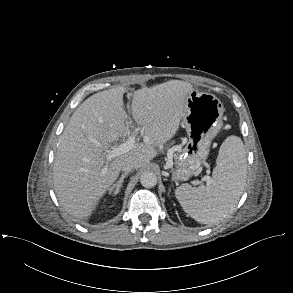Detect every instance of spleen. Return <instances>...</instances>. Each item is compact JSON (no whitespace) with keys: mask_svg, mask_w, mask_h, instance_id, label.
Instances as JSON below:
<instances>
[{"mask_svg":"<svg viewBox=\"0 0 293 293\" xmlns=\"http://www.w3.org/2000/svg\"><path fill=\"white\" fill-rule=\"evenodd\" d=\"M247 176L246 153L242 140L229 136L222 143L206 186H179L175 195L183 210L201 224H214L228 217L243 193Z\"/></svg>","mask_w":293,"mask_h":293,"instance_id":"obj_1","label":"spleen"}]
</instances>
